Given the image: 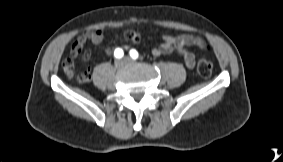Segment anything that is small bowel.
Here are the masks:
<instances>
[{
	"instance_id": "1",
	"label": "small bowel",
	"mask_w": 283,
	"mask_h": 162,
	"mask_svg": "<svg viewBox=\"0 0 283 162\" xmlns=\"http://www.w3.org/2000/svg\"><path fill=\"white\" fill-rule=\"evenodd\" d=\"M124 39L127 42L137 44L140 42V35L133 30H128L124 33ZM199 40V37L192 34L177 36L166 34L163 36L162 42L152 49V54L154 56H159L162 54L175 53L183 58L187 68L192 69L195 66L196 58L194 53L190 50V47L196 45L201 48ZM87 41L94 45L100 44L103 41L102 31H87L73 42L70 57L63 62V70L69 77H74V59L82 52ZM109 53L110 50H107L106 54ZM82 57L84 60H89L91 57V51H85ZM86 73L90 74L89 70L86 71Z\"/></svg>"
}]
</instances>
